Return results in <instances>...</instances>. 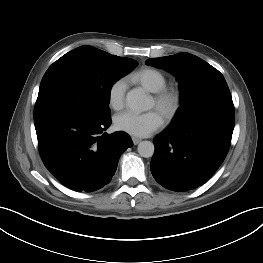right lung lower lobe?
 <instances>
[{"label": "right lung lower lobe", "mask_w": 263, "mask_h": 263, "mask_svg": "<svg viewBox=\"0 0 263 263\" xmlns=\"http://www.w3.org/2000/svg\"><path fill=\"white\" fill-rule=\"evenodd\" d=\"M34 122L44 165L61 184L78 192L96 191L108 184L120 156L133 145L123 131L104 133L111 117L56 113Z\"/></svg>", "instance_id": "98d812e1"}]
</instances>
